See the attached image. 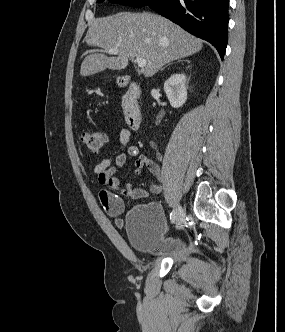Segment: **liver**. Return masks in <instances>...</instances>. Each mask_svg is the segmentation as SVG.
I'll return each instance as SVG.
<instances>
[{"label":"liver","mask_w":285,"mask_h":332,"mask_svg":"<svg viewBox=\"0 0 285 332\" xmlns=\"http://www.w3.org/2000/svg\"><path fill=\"white\" fill-rule=\"evenodd\" d=\"M84 40L89 46L105 51L115 48L119 53L112 57L99 53L86 56L80 69L83 77L105 69H124L133 57L147 61L144 75L151 77L165 64L193 55L203 47L201 39L152 13L121 12L98 18L90 24Z\"/></svg>","instance_id":"liver-1"}]
</instances>
